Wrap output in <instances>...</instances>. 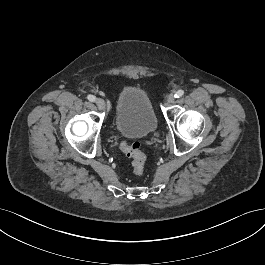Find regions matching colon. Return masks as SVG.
<instances>
[{
  "label": "colon",
  "instance_id": "1",
  "mask_svg": "<svg viewBox=\"0 0 265 265\" xmlns=\"http://www.w3.org/2000/svg\"><path fill=\"white\" fill-rule=\"evenodd\" d=\"M121 151L131 159L133 173L136 176H141L145 171L146 154L142 151L139 142L126 143L120 145Z\"/></svg>",
  "mask_w": 265,
  "mask_h": 265
}]
</instances>
